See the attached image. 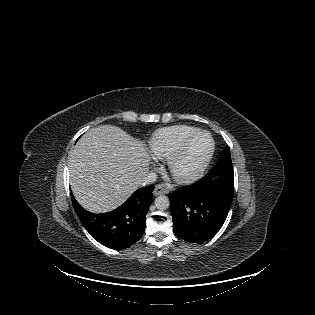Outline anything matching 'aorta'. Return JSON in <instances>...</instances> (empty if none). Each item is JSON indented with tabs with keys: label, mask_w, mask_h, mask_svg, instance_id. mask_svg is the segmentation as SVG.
Instances as JSON below:
<instances>
[{
	"label": "aorta",
	"mask_w": 315,
	"mask_h": 315,
	"mask_svg": "<svg viewBox=\"0 0 315 315\" xmlns=\"http://www.w3.org/2000/svg\"><path fill=\"white\" fill-rule=\"evenodd\" d=\"M155 206L159 210H166L170 206L169 198L165 195H160L155 199Z\"/></svg>",
	"instance_id": "obj_1"
}]
</instances>
